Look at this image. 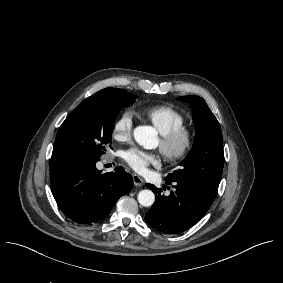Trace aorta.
<instances>
[{"instance_id": "aorta-1", "label": "aorta", "mask_w": 283, "mask_h": 283, "mask_svg": "<svg viewBox=\"0 0 283 283\" xmlns=\"http://www.w3.org/2000/svg\"><path fill=\"white\" fill-rule=\"evenodd\" d=\"M157 130L151 126H138L134 129L136 142L146 149L155 148L158 142ZM138 202L144 207H150L155 202V195L151 190L144 189L138 193Z\"/></svg>"}]
</instances>
